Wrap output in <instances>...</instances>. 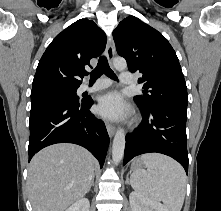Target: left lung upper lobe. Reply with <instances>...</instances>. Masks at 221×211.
<instances>
[{"label":"left lung upper lobe","instance_id":"obj_1","mask_svg":"<svg viewBox=\"0 0 221 211\" xmlns=\"http://www.w3.org/2000/svg\"><path fill=\"white\" fill-rule=\"evenodd\" d=\"M117 52L124 57L130 72L143 76V95L134 97L137 105L150 109L164 104L187 106L184 76L176 53L157 30L129 16L113 31Z\"/></svg>","mask_w":221,"mask_h":211}]
</instances>
